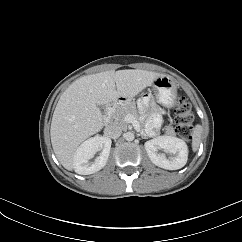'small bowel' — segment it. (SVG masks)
<instances>
[{"label":"small bowel","instance_id":"small-bowel-1","mask_svg":"<svg viewBox=\"0 0 242 242\" xmlns=\"http://www.w3.org/2000/svg\"><path fill=\"white\" fill-rule=\"evenodd\" d=\"M142 111L146 110L145 104L141 106ZM161 125V114L158 111H154L150 114L147 122V128L149 132L154 133Z\"/></svg>","mask_w":242,"mask_h":242}]
</instances>
